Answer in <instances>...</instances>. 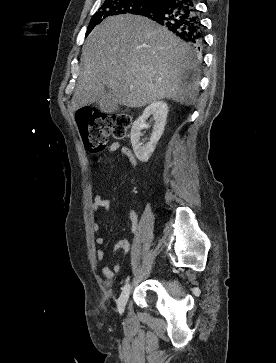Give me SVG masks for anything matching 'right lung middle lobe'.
Listing matches in <instances>:
<instances>
[{
    "label": "right lung middle lobe",
    "mask_w": 276,
    "mask_h": 363,
    "mask_svg": "<svg viewBox=\"0 0 276 363\" xmlns=\"http://www.w3.org/2000/svg\"><path fill=\"white\" fill-rule=\"evenodd\" d=\"M155 3L154 0H105L91 18L86 36L108 17L120 14L139 15Z\"/></svg>",
    "instance_id": "right-lung-middle-lobe-1"
}]
</instances>
